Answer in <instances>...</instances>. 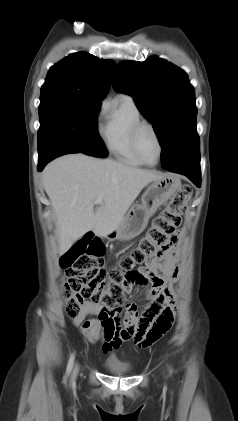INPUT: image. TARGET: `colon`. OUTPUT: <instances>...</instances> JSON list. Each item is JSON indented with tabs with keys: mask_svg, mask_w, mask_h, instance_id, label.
<instances>
[{
	"mask_svg": "<svg viewBox=\"0 0 238 421\" xmlns=\"http://www.w3.org/2000/svg\"><path fill=\"white\" fill-rule=\"evenodd\" d=\"M191 188L182 186L171 198L169 204L154 218L138 246L124 255L119 266L107 270L104 267L103 244L87 236L61 257L66 282L63 286L66 314L75 319L81 313L85 302L101 307L98 319L111 325L118 307L124 304V294L133 288L131 273L137 266L160 256L174 242L182 224V211L191 198ZM169 328L147 335L146 343L155 341Z\"/></svg>",
	"mask_w": 238,
	"mask_h": 421,
	"instance_id": "5ec220e1",
	"label": "colon"
}]
</instances>
